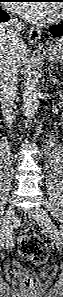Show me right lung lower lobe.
Wrapping results in <instances>:
<instances>
[{"label": "right lung lower lobe", "mask_w": 63, "mask_h": 297, "mask_svg": "<svg viewBox=\"0 0 63 297\" xmlns=\"http://www.w3.org/2000/svg\"><path fill=\"white\" fill-rule=\"evenodd\" d=\"M9 20V15L0 9V22H7Z\"/></svg>", "instance_id": "obj_1"}]
</instances>
